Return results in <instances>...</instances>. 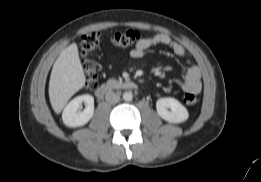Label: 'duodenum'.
Wrapping results in <instances>:
<instances>
[{"label":"duodenum","instance_id":"obj_1","mask_svg":"<svg viewBox=\"0 0 261 182\" xmlns=\"http://www.w3.org/2000/svg\"><path fill=\"white\" fill-rule=\"evenodd\" d=\"M136 88L137 85L133 81H111L97 87L95 90V95L98 98H103L107 93H109L113 89L134 90Z\"/></svg>","mask_w":261,"mask_h":182}]
</instances>
